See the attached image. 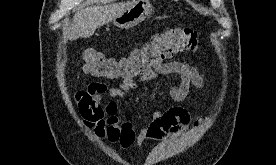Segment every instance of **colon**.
<instances>
[{
	"label": "colon",
	"mask_w": 276,
	"mask_h": 165,
	"mask_svg": "<svg viewBox=\"0 0 276 165\" xmlns=\"http://www.w3.org/2000/svg\"><path fill=\"white\" fill-rule=\"evenodd\" d=\"M199 35L192 28H173L155 34L150 41L122 58H111L95 50L83 54L84 70L107 79H135L152 73L174 54L195 51Z\"/></svg>",
	"instance_id": "obj_1"
}]
</instances>
